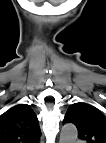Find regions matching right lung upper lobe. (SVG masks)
<instances>
[{
    "label": "right lung upper lobe",
    "mask_w": 106,
    "mask_h": 143,
    "mask_svg": "<svg viewBox=\"0 0 106 143\" xmlns=\"http://www.w3.org/2000/svg\"><path fill=\"white\" fill-rule=\"evenodd\" d=\"M38 119L27 104H18L0 116V143H38Z\"/></svg>",
    "instance_id": "cb5924a9"
}]
</instances>
